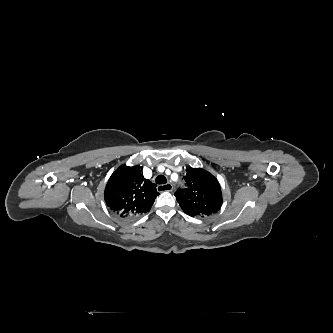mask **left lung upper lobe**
I'll use <instances>...</instances> for the list:
<instances>
[{"instance_id":"1","label":"left lung upper lobe","mask_w":333,"mask_h":333,"mask_svg":"<svg viewBox=\"0 0 333 333\" xmlns=\"http://www.w3.org/2000/svg\"><path fill=\"white\" fill-rule=\"evenodd\" d=\"M186 171V188H180L175 193L182 210L192 217L216 213L222 205L218 180L201 168H189Z\"/></svg>"}]
</instances>
